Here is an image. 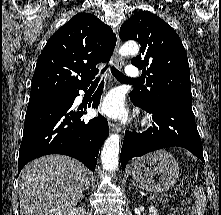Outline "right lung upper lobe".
<instances>
[{
	"mask_svg": "<svg viewBox=\"0 0 221 215\" xmlns=\"http://www.w3.org/2000/svg\"><path fill=\"white\" fill-rule=\"evenodd\" d=\"M116 35L96 16L78 13L58 29L41 52L32 78L29 101L64 95L89 82L96 65L106 62Z\"/></svg>",
	"mask_w": 221,
	"mask_h": 215,
	"instance_id": "1",
	"label": "right lung upper lobe"
}]
</instances>
